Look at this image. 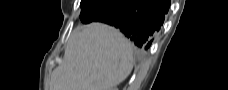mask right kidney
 <instances>
[{
	"label": "right kidney",
	"instance_id": "ca27d5eb",
	"mask_svg": "<svg viewBox=\"0 0 228 90\" xmlns=\"http://www.w3.org/2000/svg\"><path fill=\"white\" fill-rule=\"evenodd\" d=\"M112 90H117V88H113Z\"/></svg>",
	"mask_w": 228,
	"mask_h": 90
}]
</instances>
